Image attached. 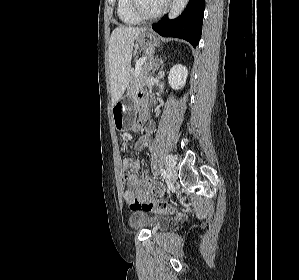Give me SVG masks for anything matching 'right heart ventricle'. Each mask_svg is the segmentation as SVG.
<instances>
[{
  "instance_id": "e07e8e85",
  "label": "right heart ventricle",
  "mask_w": 299,
  "mask_h": 280,
  "mask_svg": "<svg viewBox=\"0 0 299 280\" xmlns=\"http://www.w3.org/2000/svg\"><path fill=\"white\" fill-rule=\"evenodd\" d=\"M117 14L126 25H137L141 22L130 9V0H117Z\"/></svg>"
}]
</instances>
